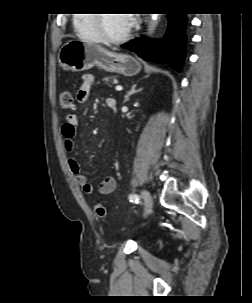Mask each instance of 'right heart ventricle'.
Returning a JSON list of instances; mask_svg holds the SVG:
<instances>
[{
    "instance_id": "1",
    "label": "right heart ventricle",
    "mask_w": 252,
    "mask_h": 303,
    "mask_svg": "<svg viewBox=\"0 0 252 303\" xmlns=\"http://www.w3.org/2000/svg\"><path fill=\"white\" fill-rule=\"evenodd\" d=\"M74 26L84 39L93 42L103 41L97 27L95 14H78L74 19Z\"/></svg>"
}]
</instances>
